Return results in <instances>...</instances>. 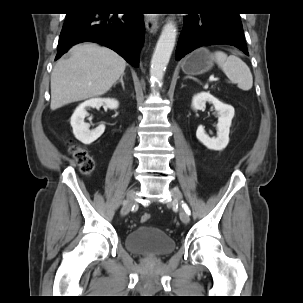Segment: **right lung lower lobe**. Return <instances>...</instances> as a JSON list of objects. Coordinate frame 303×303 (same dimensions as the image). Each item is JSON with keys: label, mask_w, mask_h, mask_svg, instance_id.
Segmentation results:
<instances>
[{"label": "right lung lower lobe", "mask_w": 303, "mask_h": 303, "mask_svg": "<svg viewBox=\"0 0 303 303\" xmlns=\"http://www.w3.org/2000/svg\"><path fill=\"white\" fill-rule=\"evenodd\" d=\"M144 31L142 14H125L118 17L107 11L92 9L68 13L60 34L55 60L77 43L95 42L111 48L128 63L138 67Z\"/></svg>", "instance_id": "1"}]
</instances>
